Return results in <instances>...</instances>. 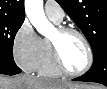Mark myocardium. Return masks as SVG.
Masks as SVG:
<instances>
[{"instance_id":"obj_1","label":"myocardium","mask_w":107,"mask_h":89,"mask_svg":"<svg viewBox=\"0 0 107 89\" xmlns=\"http://www.w3.org/2000/svg\"><path fill=\"white\" fill-rule=\"evenodd\" d=\"M56 33H57L58 37L65 36L67 34L77 35L83 41V43L86 47V50H87L86 65L79 71H70L65 66V64L61 58L57 41L50 39L52 56H53V60H54L56 67L59 69V71L62 74L67 75V76H71V77L80 76V75H83L84 73H86L93 65L94 54H93L91 44H90L89 40L87 39V37L85 36V34L74 27H67V26L58 27L56 30Z\"/></svg>"}]
</instances>
